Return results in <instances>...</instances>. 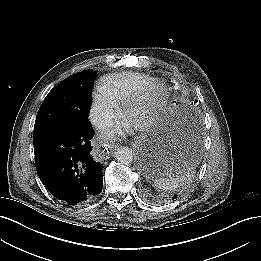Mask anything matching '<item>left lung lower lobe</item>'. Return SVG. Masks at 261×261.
I'll return each instance as SVG.
<instances>
[{"label": "left lung lower lobe", "instance_id": "obj_1", "mask_svg": "<svg viewBox=\"0 0 261 261\" xmlns=\"http://www.w3.org/2000/svg\"><path fill=\"white\" fill-rule=\"evenodd\" d=\"M176 197H177V195H175L173 198H176ZM173 198H172V199H173Z\"/></svg>", "mask_w": 261, "mask_h": 261}]
</instances>
